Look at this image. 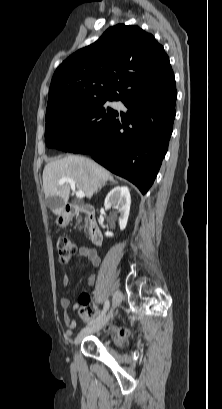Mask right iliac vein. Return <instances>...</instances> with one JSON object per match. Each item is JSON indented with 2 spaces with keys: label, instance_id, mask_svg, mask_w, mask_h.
<instances>
[{
  "label": "right iliac vein",
  "instance_id": "63e3f726",
  "mask_svg": "<svg viewBox=\"0 0 222 409\" xmlns=\"http://www.w3.org/2000/svg\"><path fill=\"white\" fill-rule=\"evenodd\" d=\"M121 300H122L121 292L119 291L115 292V294L113 295V299H112V308L108 312V314L100 321L82 329L75 339V344L78 345L85 336L93 332H96L102 327H104L108 323V321L113 318L114 310L120 305Z\"/></svg>",
  "mask_w": 222,
  "mask_h": 409
}]
</instances>
